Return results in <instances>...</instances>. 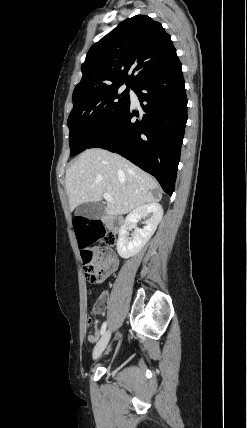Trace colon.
I'll list each match as a JSON object with an SVG mask.
<instances>
[{
	"label": "colon",
	"instance_id": "1",
	"mask_svg": "<svg viewBox=\"0 0 247 428\" xmlns=\"http://www.w3.org/2000/svg\"><path fill=\"white\" fill-rule=\"evenodd\" d=\"M73 222L76 226L75 242L77 250L81 251L85 278L90 283H96L100 279L106 259L102 255L96 257L88 246L92 243H99L100 238H103L106 244L114 245L116 237L112 232L106 231L99 221H91V217H84L81 212L76 213ZM90 322L91 319L88 320V324Z\"/></svg>",
	"mask_w": 247,
	"mask_h": 428
}]
</instances>
